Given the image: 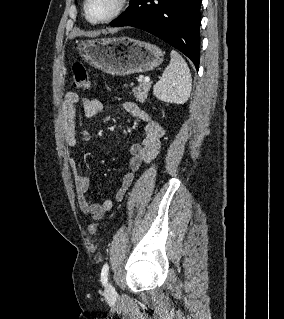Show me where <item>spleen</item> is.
Listing matches in <instances>:
<instances>
[{"instance_id":"obj_1","label":"spleen","mask_w":284,"mask_h":319,"mask_svg":"<svg viewBox=\"0 0 284 319\" xmlns=\"http://www.w3.org/2000/svg\"><path fill=\"white\" fill-rule=\"evenodd\" d=\"M171 61L162 74V78L154 85L153 93L161 101L184 104L191 92V75L185 60L172 50Z\"/></svg>"}]
</instances>
